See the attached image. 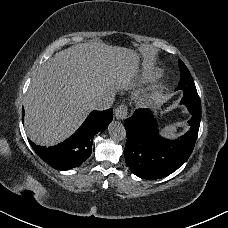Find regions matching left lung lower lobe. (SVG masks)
I'll list each match as a JSON object with an SVG mask.
<instances>
[{"label": "left lung lower lobe", "instance_id": "1", "mask_svg": "<svg viewBox=\"0 0 228 228\" xmlns=\"http://www.w3.org/2000/svg\"><path fill=\"white\" fill-rule=\"evenodd\" d=\"M188 95L186 106L192 114L191 128L179 139L162 138L154 115L148 109H138L124 121L127 133L125 160L136 176L148 180L166 177L191 155L200 126L201 103L200 99Z\"/></svg>", "mask_w": 228, "mask_h": 228}]
</instances>
